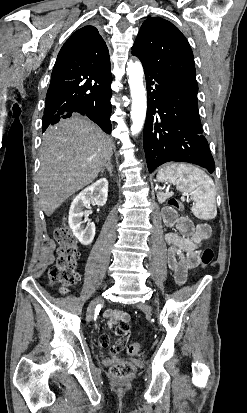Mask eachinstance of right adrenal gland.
Here are the masks:
<instances>
[{"mask_svg":"<svg viewBox=\"0 0 247 413\" xmlns=\"http://www.w3.org/2000/svg\"><path fill=\"white\" fill-rule=\"evenodd\" d=\"M105 168H107V170H108V172H109L110 176H113V172H112V168H113V166H112V162H111V160H107V162H106L105 166H102V168H101V172H104Z\"/></svg>","mask_w":247,"mask_h":413,"instance_id":"2a0ac1e0","label":"right adrenal gland"}]
</instances>
